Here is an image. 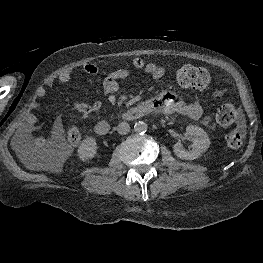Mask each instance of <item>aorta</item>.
Instances as JSON below:
<instances>
[{"instance_id":"obj_1","label":"aorta","mask_w":263,"mask_h":263,"mask_svg":"<svg viewBox=\"0 0 263 263\" xmlns=\"http://www.w3.org/2000/svg\"><path fill=\"white\" fill-rule=\"evenodd\" d=\"M148 126L144 121H138L134 125V131L137 134H144L147 132Z\"/></svg>"}]
</instances>
